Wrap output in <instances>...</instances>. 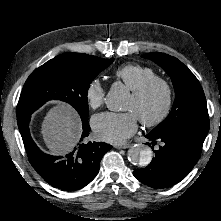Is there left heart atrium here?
<instances>
[{
  "mask_svg": "<svg viewBox=\"0 0 221 221\" xmlns=\"http://www.w3.org/2000/svg\"><path fill=\"white\" fill-rule=\"evenodd\" d=\"M138 117L132 111L124 113H102L92 120L97 136L110 143L121 144L137 130Z\"/></svg>",
  "mask_w": 221,
  "mask_h": 221,
  "instance_id": "obj_1",
  "label": "left heart atrium"
}]
</instances>
